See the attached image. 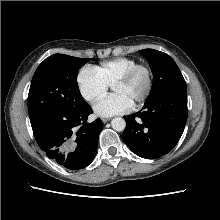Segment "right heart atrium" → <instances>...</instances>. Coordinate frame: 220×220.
<instances>
[{
  "label": "right heart atrium",
  "mask_w": 220,
  "mask_h": 220,
  "mask_svg": "<svg viewBox=\"0 0 220 220\" xmlns=\"http://www.w3.org/2000/svg\"><path fill=\"white\" fill-rule=\"evenodd\" d=\"M77 85L80 95L88 103H93L108 90V86L96 75L92 67L80 70Z\"/></svg>",
  "instance_id": "d8ad5b80"
}]
</instances>
